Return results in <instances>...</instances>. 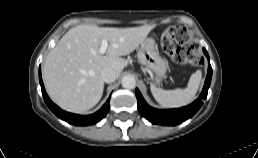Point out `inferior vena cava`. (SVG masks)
<instances>
[{
  "label": "inferior vena cava",
  "instance_id": "602c4592",
  "mask_svg": "<svg viewBox=\"0 0 258 158\" xmlns=\"http://www.w3.org/2000/svg\"><path fill=\"white\" fill-rule=\"evenodd\" d=\"M100 75L102 80L106 83H112L117 79V74L112 68H104Z\"/></svg>",
  "mask_w": 258,
  "mask_h": 158
}]
</instances>
